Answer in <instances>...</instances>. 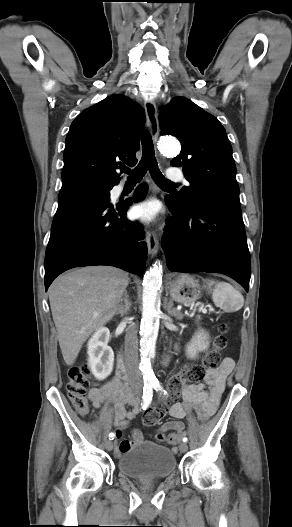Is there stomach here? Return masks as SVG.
Here are the masks:
<instances>
[{"label":"stomach","instance_id":"obj_1","mask_svg":"<svg viewBox=\"0 0 292 527\" xmlns=\"http://www.w3.org/2000/svg\"><path fill=\"white\" fill-rule=\"evenodd\" d=\"M197 280L187 274L175 276L169 283L171 298L177 303H193L200 298L201 291Z\"/></svg>","mask_w":292,"mask_h":527}]
</instances>
